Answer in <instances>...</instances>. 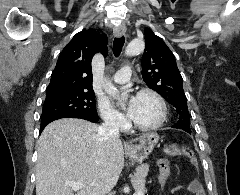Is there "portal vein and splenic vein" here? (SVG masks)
Segmentation results:
<instances>
[{
  "label": "portal vein and splenic vein",
  "mask_w": 240,
  "mask_h": 195,
  "mask_svg": "<svg viewBox=\"0 0 240 195\" xmlns=\"http://www.w3.org/2000/svg\"><path fill=\"white\" fill-rule=\"evenodd\" d=\"M66 185H70L71 189H82V187H86L85 183H82V181H66ZM137 193H133V195H143V191L141 188H139ZM92 195H98V193H95V191H91Z\"/></svg>",
  "instance_id": "obj_1"
}]
</instances>
